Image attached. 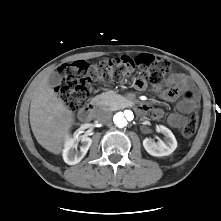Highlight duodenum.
Listing matches in <instances>:
<instances>
[{
  "label": "duodenum",
  "instance_id": "410a0bca",
  "mask_svg": "<svg viewBox=\"0 0 221 221\" xmlns=\"http://www.w3.org/2000/svg\"><path fill=\"white\" fill-rule=\"evenodd\" d=\"M99 107V99L98 98H93L92 101L90 102L88 108L82 110L79 113V118L80 120H82L83 122L89 121L92 116L94 111ZM137 108L139 110H142V107L137 106Z\"/></svg>",
  "mask_w": 221,
  "mask_h": 221
}]
</instances>
